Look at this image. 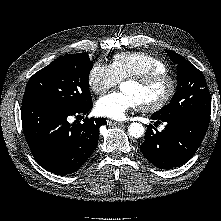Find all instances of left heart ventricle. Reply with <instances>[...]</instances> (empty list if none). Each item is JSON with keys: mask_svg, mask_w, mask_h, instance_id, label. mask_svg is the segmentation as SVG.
I'll use <instances>...</instances> for the list:
<instances>
[{"mask_svg": "<svg viewBox=\"0 0 221 221\" xmlns=\"http://www.w3.org/2000/svg\"><path fill=\"white\" fill-rule=\"evenodd\" d=\"M122 91L134 97L137 104H152L160 100L167 91V84L163 81L147 87L138 86L132 82H125Z\"/></svg>", "mask_w": 221, "mask_h": 221, "instance_id": "left-heart-ventricle-1", "label": "left heart ventricle"}]
</instances>
